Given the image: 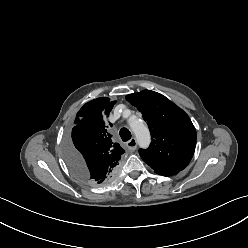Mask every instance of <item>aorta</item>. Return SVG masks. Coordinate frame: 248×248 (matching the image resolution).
<instances>
[{"instance_id":"aorta-1","label":"aorta","mask_w":248,"mask_h":248,"mask_svg":"<svg viewBox=\"0 0 248 248\" xmlns=\"http://www.w3.org/2000/svg\"><path fill=\"white\" fill-rule=\"evenodd\" d=\"M130 127L139 145L143 148L148 147L150 143V133L146 125L141 120H134L130 122Z\"/></svg>"}]
</instances>
